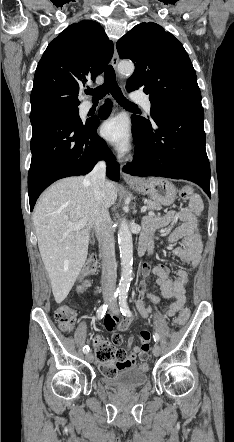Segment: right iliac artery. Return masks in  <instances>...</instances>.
Wrapping results in <instances>:
<instances>
[{
    "mask_svg": "<svg viewBox=\"0 0 234 442\" xmlns=\"http://www.w3.org/2000/svg\"><path fill=\"white\" fill-rule=\"evenodd\" d=\"M118 296V294L116 293L115 295H114V297H117ZM107 304H103L98 310H97V317L100 319H102L103 317H104V315H105V313H106V310H107ZM83 352L86 354V353H88L89 352V346H85L84 348H83Z\"/></svg>",
    "mask_w": 234,
    "mask_h": 442,
    "instance_id": "right-iliac-artery-1",
    "label": "right iliac artery"
}]
</instances>
